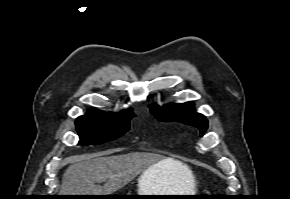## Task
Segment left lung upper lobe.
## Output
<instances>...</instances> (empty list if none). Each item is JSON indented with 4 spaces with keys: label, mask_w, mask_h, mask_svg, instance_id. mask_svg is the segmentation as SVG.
Here are the masks:
<instances>
[{
    "label": "left lung upper lobe",
    "mask_w": 290,
    "mask_h": 199,
    "mask_svg": "<svg viewBox=\"0 0 290 199\" xmlns=\"http://www.w3.org/2000/svg\"><path fill=\"white\" fill-rule=\"evenodd\" d=\"M152 113L161 121H177L187 125L197 127L201 136L204 135L208 121L202 114L194 111V105L191 102L181 104H168L163 107L152 105Z\"/></svg>",
    "instance_id": "obj_1"
}]
</instances>
